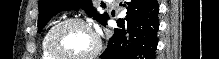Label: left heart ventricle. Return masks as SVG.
Listing matches in <instances>:
<instances>
[{"mask_svg":"<svg viewBox=\"0 0 219 59\" xmlns=\"http://www.w3.org/2000/svg\"><path fill=\"white\" fill-rule=\"evenodd\" d=\"M57 44L64 54L80 56L93 50L95 38L86 27L73 24L59 33Z\"/></svg>","mask_w":219,"mask_h":59,"instance_id":"left-heart-ventricle-1","label":"left heart ventricle"}]
</instances>
